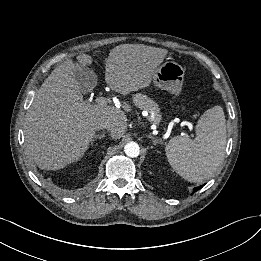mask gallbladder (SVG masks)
<instances>
[{
  "instance_id": "obj_1",
  "label": "gallbladder",
  "mask_w": 261,
  "mask_h": 261,
  "mask_svg": "<svg viewBox=\"0 0 261 261\" xmlns=\"http://www.w3.org/2000/svg\"><path fill=\"white\" fill-rule=\"evenodd\" d=\"M74 78L82 93H86L97 84V76L87 66L78 65Z\"/></svg>"
}]
</instances>
